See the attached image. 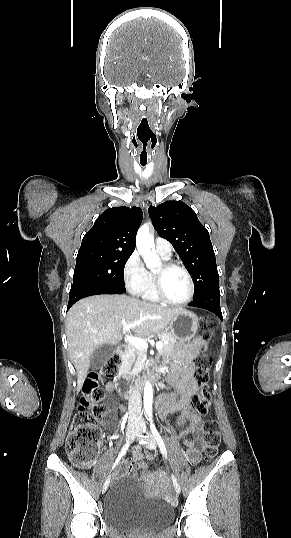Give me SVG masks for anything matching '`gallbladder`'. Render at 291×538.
<instances>
[{
    "label": "gallbladder",
    "mask_w": 291,
    "mask_h": 538,
    "mask_svg": "<svg viewBox=\"0 0 291 538\" xmlns=\"http://www.w3.org/2000/svg\"><path fill=\"white\" fill-rule=\"evenodd\" d=\"M116 346L112 344H104L97 348L94 353L92 354L91 360H90V368L92 370H98L104 363L107 361V359L112 355L115 351Z\"/></svg>",
    "instance_id": "obj_1"
}]
</instances>
